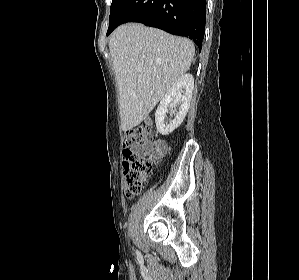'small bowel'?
<instances>
[{
    "label": "small bowel",
    "instance_id": "1",
    "mask_svg": "<svg viewBox=\"0 0 299 280\" xmlns=\"http://www.w3.org/2000/svg\"><path fill=\"white\" fill-rule=\"evenodd\" d=\"M142 151L149 154L153 151L157 157H162L167 152V144L163 140H158L154 144H148L142 147Z\"/></svg>",
    "mask_w": 299,
    "mask_h": 280
}]
</instances>
